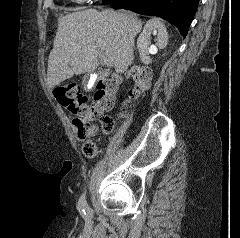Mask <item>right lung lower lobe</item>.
I'll return each instance as SVG.
<instances>
[{"mask_svg": "<svg viewBox=\"0 0 240 238\" xmlns=\"http://www.w3.org/2000/svg\"><path fill=\"white\" fill-rule=\"evenodd\" d=\"M199 0H103L114 9H127L143 15H155L173 23L186 37Z\"/></svg>", "mask_w": 240, "mask_h": 238, "instance_id": "1", "label": "right lung lower lobe"}]
</instances>
